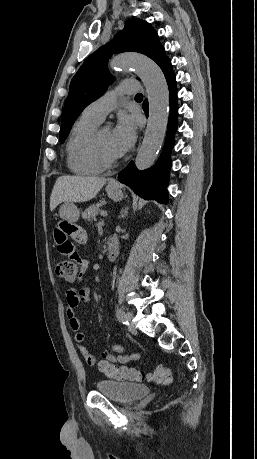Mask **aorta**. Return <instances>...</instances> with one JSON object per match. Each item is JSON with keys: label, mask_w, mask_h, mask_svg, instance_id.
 I'll use <instances>...</instances> for the list:
<instances>
[{"label": "aorta", "mask_w": 257, "mask_h": 459, "mask_svg": "<svg viewBox=\"0 0 257 459\" xmlns=\"http://www.w3.org/2000/svg\"><path fill=\"white\" fill-rule=\"evenodd\" d=\"M110 67L118 70L134 69L146 87L149 118L135 164L139 170L147 169L155 162L166 134L169 110L167 81L160 67L141 55H118L111 59Z\"/></svg>", "instance_id": "1"}]
</instances>
